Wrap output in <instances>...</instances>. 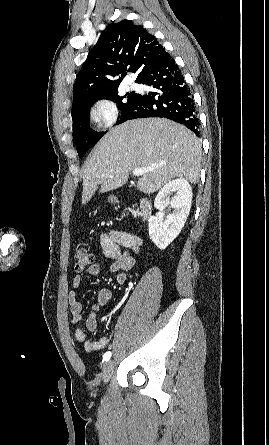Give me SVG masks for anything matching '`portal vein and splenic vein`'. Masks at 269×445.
Returning <instances> with one entry per match:
<instances>
[{"mask_svg": "<svg viewBox=\"0 0 269 445\" xmlns=\"http://www.w3.org/2000/svg\"><path fill=\"white\" fill-rule=\"evenodd\" d=\"M158 167H160V165L159 166H154V167H147V168H145V167L135 168L133 170V174L135 176H142L144 173L149 172V171H153L154 169H156Z\"/></svg>", "mask_w": 269, "mask_h": 445, "instance_id": "18ae733b", "label": "portal vein and splenic vein"}]
</instances>
